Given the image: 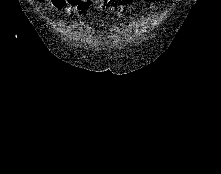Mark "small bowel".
Listing matches in <instances>:
<instances>
[{
    "instance_id": "obj_1",
    "label": "small bowel",
    "mask_w": 221,
    "mask_h": 174,
    "mask_svg": "<svg viewBox=\"0 0 221 174\" xmlns=\"http://www.w3.org/2000/svg\"><path fill=\"white\" fill-rule=\"evenodd\" d=\"M93 0H49L50 9L59 11L62 16L82 15ZM107 8L123 11L132 0H100Z\"/></svg>"
}]
</instances>
